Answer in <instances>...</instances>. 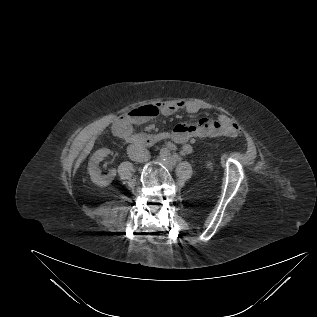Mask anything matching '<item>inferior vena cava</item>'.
Here are the masks:
<instances>
[{
	"label": "inferior vena cava",
	"mask_w": 317,
	"mask_h": 317,
	"mask_svg": "<svg viewBox=\"0 0 317 317\" xmlns=\"http://www.w3.org/2000/svg\"><path fill=\"white\" fill-rule=\"evenodd\" d=\"M128 157L137 162H145L149 159V151L139 144H131L127 147Z\"/></svg>",
	"instance_id": "1"
}]
</instances>
